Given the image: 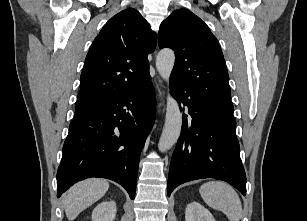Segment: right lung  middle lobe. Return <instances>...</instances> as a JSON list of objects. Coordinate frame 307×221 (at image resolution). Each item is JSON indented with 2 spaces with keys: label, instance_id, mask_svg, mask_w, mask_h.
<instances>
[{
  "label": "right lung middle lobe",
  "instance_id": "dd1d6c3e",
  "mask_svg": "<svg viewBox=\"0 0 307 221\" xmlns=\"http://www.w3.org/2000/svg\"><path fill=\"white\" fill-rule=\"evenodd\" d=\"M94 107H76L74 117L81 116L88 111L92 110Z\"/></svg>",
  "mask_w": 307,
  "mask_h": 221
}]
</instances>
